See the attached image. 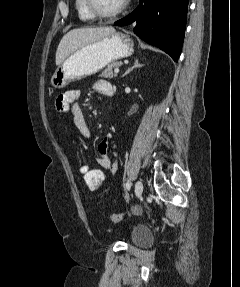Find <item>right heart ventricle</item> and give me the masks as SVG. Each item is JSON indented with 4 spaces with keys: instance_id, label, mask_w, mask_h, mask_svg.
<instances>
[{
    "instance_id": "e07e8e85",
    "label": "right heart ventricle",
    "mask_w": 240,
    "mask_h": 287,
    "mask_svg": "<svg viewBox=\"0 0 240 287\" xmlns=\"http://www.w3.org/2000/svg\"><path fill=\"white\" fill-rule=\"evenodd\" d=\"M75 9L80 20L93 21L95 19V16L88 10L86 0H75Z\"/></svg>"
}]
</instances>
